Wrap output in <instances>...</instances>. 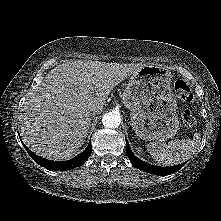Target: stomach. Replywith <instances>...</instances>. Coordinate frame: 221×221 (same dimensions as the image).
<instances>
[{
    "label": "stomach",
    "instance_id": "obj_1",
    "mask_svg": "<svg viewBox=\"0 0 221 221\" xmlns=\"http://www.w3.org/2000/svg\"><path fill=\"white\" fill-rule=\"evenodd\" d=\"M172 74L161 65H144L134 72L122 94L131 112V126L146 141L166 140L179 129Z\"/></svg>",
    "mask_w": 221,
    "mask_h": 221
}]
</instances>
